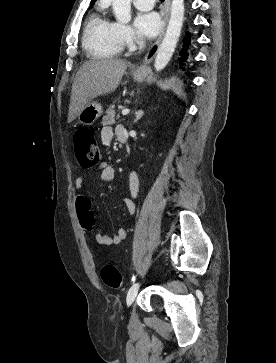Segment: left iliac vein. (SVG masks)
Returning <instances> with one entry per match:
<instances>
[{
  "label": "left iliac vein",
  "mask_w": 276,
  "mask_h": 363,
  "mask_svg": "<svg viewBox=\"0 0 276 363\" xmlns=\"http://www.w3.org/2000/svg\"><path fill=\"white\" fill-rule=\"evenodd\" d=\"M139 286H140L139 282H135L132 284V286L128 290L127 297H126V302H127L128 306L131 305L132 302L134 301V299L136 298L138 290H139Z\"/></svg>",
  "instance_id": "1"
}]
</instances>
